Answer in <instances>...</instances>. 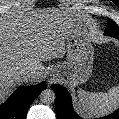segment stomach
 I'll use <instances>...</instances> for the list:
<instances>
[{
    "instance_id": "stomach-1",
    "label": "stomach",
    "mask_w": 119,
    "mask_h": 119,
    "mask_svg": "<svg viewBox=\"0 0 119 119\" xmlns=\"http://www.w3.org/2000/svg\"><path fill=\"white\" fill-rule=\"evenodd\" d=\"M72 31L68 40L66 61L58 63L53 71L61 73L71 84L77 85L89 79L94 52L86 29L78 25Z\"/></svg>"
}]
</instances>
